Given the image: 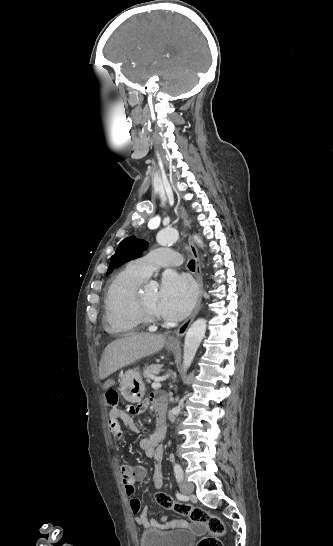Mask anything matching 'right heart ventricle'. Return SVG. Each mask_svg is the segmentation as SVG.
<instances>
[{"mask_svg":"<svg viewBox=\"0 0 333 546\" xmlns=\"http://www.w3.org/2000/svg\"><path fill=\"white\" fill-rule=\"evenodd\" d=\"M145 280L131 265L111 279L104 300L105 325L109 332L126 334L141 329L142 320L135 311L133 300Z\"/></svg>","mask_w":333,"mask_h":546,"instance_id":"e07e8e85","label":"right heart ventricle"}]
</instances>
